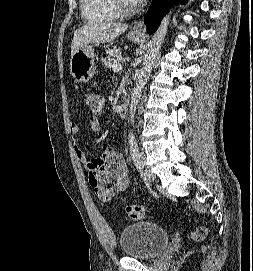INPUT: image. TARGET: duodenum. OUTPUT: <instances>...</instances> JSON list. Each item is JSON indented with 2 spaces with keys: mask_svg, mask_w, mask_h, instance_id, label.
Instances as JSON below:
<instances>
[{
  "mask_svg": "<svg viewBox=\"0 0 253 271\" xmlns=\"http://www.w3.org/2000/svg\"><path fill=\"white\" fill-rule=\"evenodd\" d=\"M128 108H129V104L127 101L123 102L119 108V116L121 118L126 117L127 113H128Z\"/></svg>",
  "mask_w": 253,
  "mask_h": 271,
  "instance_id": "410a0bca",
  "label": "duodenum"
}]
</instances>
